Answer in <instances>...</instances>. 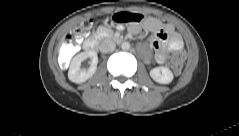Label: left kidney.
<instances>
[{
  "label": "left kidney",
  "mask_w": 239,
  "mask_h": 136,
  "mask_svg": "<svg viewBox=\"0 0 239 136\" xmlns=\"http://www.w3.org/2000/svg\"><path fill=\"white\" fill-rule=\"evenodd\" d=\"M151 78L160 84H169L174 76L171 70L167 67H156L150 70Z\"/></svg>",
  "instance_id": "1"
}]
</instances>
